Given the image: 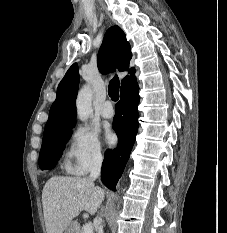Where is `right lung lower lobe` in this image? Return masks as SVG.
Listing matches in <instances>:
<instances>
[{
    "label": "right lung lower lobe",
    "mask_w": 227,
    "mask_h": 233,
    "mask_svg": "<svg viewBox=\"0 0 227 233\" xmlns=\"http://www.w3.org/2000/svg\"><path fill=\"white\" fill-rule=\"evenodd\" d=\"M139 87L121 95L116 106L113 119V129L118 136L115 149H108L105 153L101 169V180L109 189L116 191V184L124 171L138 131Z\"/></svg>",
    "instance_id": "right-lung-lower-lobe-1"
}]
</instances>
